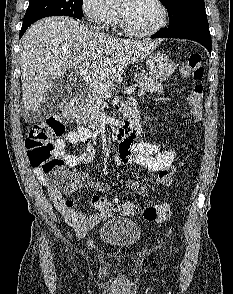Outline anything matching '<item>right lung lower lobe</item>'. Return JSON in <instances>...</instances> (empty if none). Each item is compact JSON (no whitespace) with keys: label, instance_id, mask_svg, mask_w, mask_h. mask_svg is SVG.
<instances>
[{"label":"right lung lower lobe","instance_id":"1","mask_svg":"<svg viewBox=\"0 0 233 294\" xmlns=\"http://www.w3.org/2000/svg\"><path fill=\"white\" fill-rule=\"evenodd\" d=\"M30 25H22L21 31H20V37L24 34V32L26 31V29L29 27Z\"/></svg>","mask_w":233,"mask_h":294}]
</instances>
